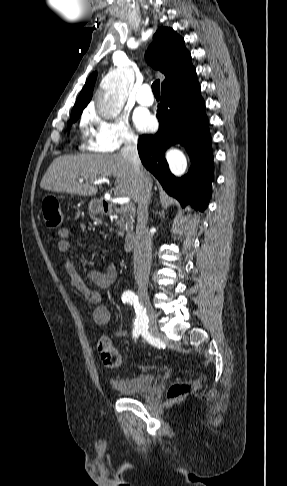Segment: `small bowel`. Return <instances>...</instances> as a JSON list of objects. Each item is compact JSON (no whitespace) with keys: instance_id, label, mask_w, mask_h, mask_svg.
Segmentation results:
<instances>
[{"instance_id":"obj_1","label":"small bowel","mask_w":287,"mask_h":486,"mask_svg":"<svg viewBox=\"0 0 287 486\" xmlns=\"http://www.w3.org/2000/svg\"><path fill=\"white\" fill-rule=\"evenodd\" d=\"M57 236L59 238L57 242V250L63 256L64 268L71 279L72 285L82 293L85 298L96 307L93 311L94 322L99 326H108L111 321V312L108 307L101 305V295L98 291L91 289L86 280L79 274L75 268L74 263L70 259L71 243L70 236L71 233L66 228H61L57 231ZM117 277V270L114 265H108L104 271H89L87 274V279L93 284L100 288H107L112 285ZM118 335H123L119 332Z\"/></svg>"}]
</instances>
